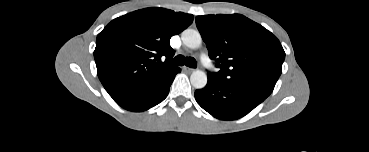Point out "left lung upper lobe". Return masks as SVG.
Wrapping results in <instances>:
<instances>
[{"instance_id":"1","label":"left lung upper lobe","mask_w":369,"mask_h":152,"mask_svg":"<svg viewBox=\"0 0 369 152\" xmlns=\"http://www.w3.org/2000/svg\"><path fill=\"white\" fill-rule=\"evenodd\" d=\"M195 20L210 58L220 68L208 74L229 85L271 94L285 52L270 31L240 14L197 16Z\"/></svg>"}]
</instances>
